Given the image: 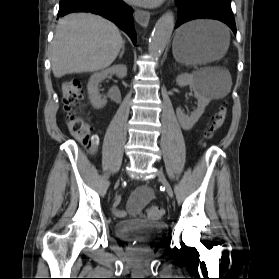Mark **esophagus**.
I'll return each mask as SVG.
<instances>
[{"label": "esophagus", "instance_id": "obj_1", "mask_svg": "<svg viewBox=\"0 0 279 279\" xmlns=\"http://www.w3.org/2000/svg\"><path fill=\"white\" fill-rule=\"evenodd\" d=\"M134 18L142 27H147L150 20V12L142 9H135Z\"/></svg>", "mask_w": 279, "mask_h": 279}]
</instances>
